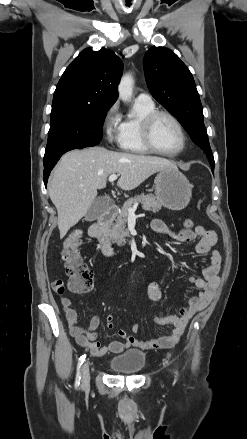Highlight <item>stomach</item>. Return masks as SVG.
<instances>
[{
	"label": "stomach",
	"instance_id": "stomach-1",
	"mask_svg": "<svg viewBox=\"0 0 247 439\" xmlns=\"http://www.w3.org/2000/svg\"><path fill=\"white\" fill-rule=\"evenodd\" d=\"M156 199L171 210H182L192 197V185L177 167L158 171L155 179Z\"/></svg>",
	"mask_w": 247,
	"mask_h": 439
}]
</instances>
